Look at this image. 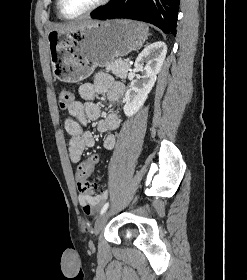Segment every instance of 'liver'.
Returning a JSON list of instances; mask_svg holds the SVG:
<instances>
[{
	"instance_id": "liver-1",
	"label": "liver",
	"mask_w": 247,
	"mask_h": 280,
	"mask_svg": "<svg viewBox=\"0 0 247 280\" xmlns=\"http://www.w3.org/2000/svg\"><path fill=\"white\" fill-rule=\"evenodd\" d=\"M96 21L88 20V21H83V22H73V23H68V24H57L55 25L52 30L64 33V32H73L77 31L79 29H83L90 24L95 23ZM51 30V31H52Z\"/></svg>"
}]
</instances>
